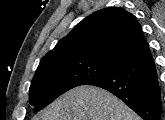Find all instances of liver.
<instances>
[{
  "mask_svg": "<svg viewBox=\"0 0 165 120\" xmlns=\"http://www.w3.org/2000/svg\"><path fill=\"white\" fill-rule=\"evenodd\" d=\"M33 120H141L124 102L95 86H79L53 101Z\"/></svg>",
  "mask_w": 165,
  "mask_h": 120,
  "instance_id": "6515ba94",
  "label": "liver"
}]
</instances>
